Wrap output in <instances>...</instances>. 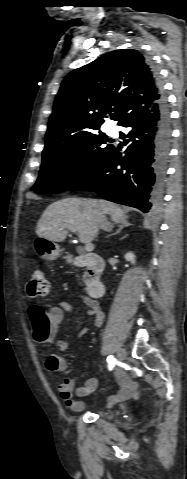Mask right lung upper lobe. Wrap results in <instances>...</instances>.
I'll return each mask as SVG.
<instances>
[{"instance_id": "cb5924a9", "label": "right lung upper lobe", "mask_w": 187, "mask_h": 479, "mask_svg": "<svg viewBox=\"0 0 187 479\" xmlns=\"http://www.w3.org/2000/svg\"><path fill=\"white\" fill-rule=\"evenodd\" d=\"M158 75L137 50L121 49L70 72L54 102L45 149L98 131L108 114L118 121L162 96Z\"/></svg>"}]
</instances>
